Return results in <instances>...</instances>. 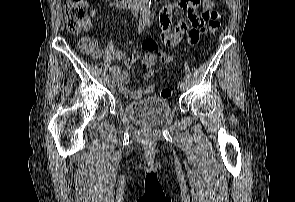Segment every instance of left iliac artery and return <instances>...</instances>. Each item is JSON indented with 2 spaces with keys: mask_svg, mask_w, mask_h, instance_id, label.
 Returning <instances> with one entry per match:
<instances>
[{
  "mask_svg": "<svg viewBox=\"0 0 295 202\" xmlns=\"http://www.w3.org/2000/svg\"><path fill=\"white\" fill-rule=\"evenodd\" d=\"M147 25L150 26V22H148ZM183 81L187 82V78H184Z\"/></svg>",
  "mask_w": 295,
  "mask_h": 202,
  "instance_id": "obj_1",
  "label": "left iliac artery"
}]
</instances>
